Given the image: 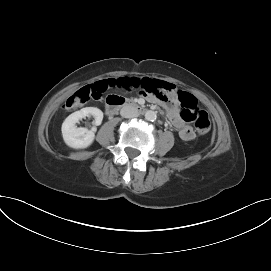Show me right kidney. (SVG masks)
I'll return each instance as SVG.
<instances>
[{
  "mask_svg": "<svg viewBox=\"0 0 271 271\" xmlns=\"http://www.w3.org/2000/svg\"><path fill=\"white\" fill-rule=\"evenodd\" d=\"M93 116V124L99 126L103 120V112L95 107H85L69 115L62 124V135L65 143L75 149L87 148L95 138L96 129L88 130L87 128L77 127L76 123L82 118Z\"/></svg>",
  "mask_w": 271,
  "mask_h": 271,
  "instance_id": "obj_1",
  "label": "right kidney"
}]
</instances>
